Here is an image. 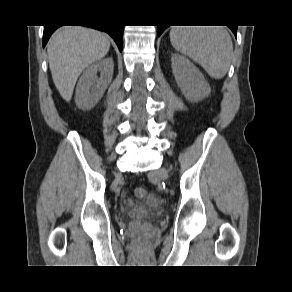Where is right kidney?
I'll return each mask as SVG.
<instances>
[{"mask_svg":"<svg viewBox=\"0 0 292 292\" xmlns=\"http://www.w3.org/2000/svg\"><path fill=\"white\" fill-rule=\"evenodd\" d=\"M114 63L112 57L94 62L81 75L76 87V105L91 109L103 96L112 81ZM100 72V77H97Z\"/></svg>","mask_w":292,"mask_h":292,"instance_id":"obj_1","label":"right kidney"}]
</instances>
